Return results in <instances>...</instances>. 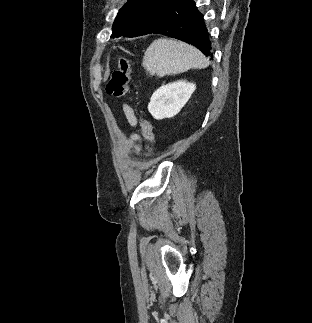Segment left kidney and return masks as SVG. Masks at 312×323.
<instances>
[{"instance_id":"left-kidney-1","label":"left kidney","mask_w":312,"mask_h":323,"mask_svg":"<svg viewBox=\"0 0 312 323\" xmlns=\"http://www.w3.org/2000/svg\"><path fill=\"white\" fill-rule=\"evenodd\" d=\"M194 90H196L195 84H189L184 80L161 86L152 94L151 102L148 104L151 116L155 120L173 118L182 110Z\"/></svg>"}]
</instances>
